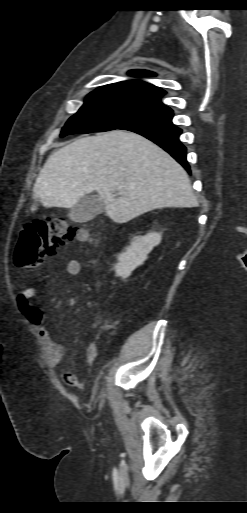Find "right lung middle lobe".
I'll use <instances>...</instances> for the list:
<instances>
[{"mask_svg": "<svg viewBox=\"0 0 247 513\" xmlns=\"http://www.w3.org/2000/svg\"><path fill=\"white\" fill-rule=\"evenodd\" d=\"M172 112L169 107L151 104L125 91L97 88L62 128L60 137L75 133L121 129L127 124Z\"/></svg>", "mask_w": 247, "mask_h": 513, "instance_id": "dd1d6c3e", "label": "right lung middle lobe"}]
</instances>
